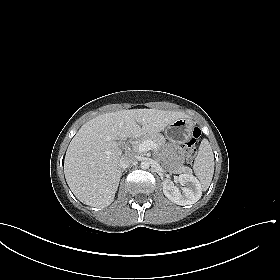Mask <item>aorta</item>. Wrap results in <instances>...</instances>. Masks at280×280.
<instances>
[{
	"instance_id": "762f6f07",
	"label": "aorta",
	"mask_w": 280,
	"mask_h": 280,
	"mask_svg": "<svg viewBox=\"0 0 280 280\" xmlns=\"http://www.w3.org/2000/svg\"><path fill=\"white\" fill-rule=\"evenodd\" d=\"M149 167H150V164H149L148 161L145 160V161H142V162H141V168H142V169H145V170H146V169H148Z\"/></svg>"
}]
</instances>
